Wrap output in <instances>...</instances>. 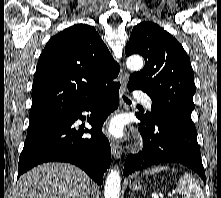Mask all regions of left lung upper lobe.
I'll return each instance as SVG.
<instances>
[{
    "instance_id": "obj_1",
    "label": "left lung upper lobe",
    "mask_w": 221,
    "mask_h": 198,
    "mask_svg": "<svg viewBox=\"0 0 221 198\" xmlns=\"http://www.w3.org/2000/svg\"><path fill=\"white\" fill-rule=\"evenodd\" d=\"M125 53L140 54L145 66L133 73L128 86L146 92L151 100L147 118L162 116L180 125L196 129L191 119L196 91L190 59L181 44L155 23L137 24Z\"/></svg>"
}]
</instances>
